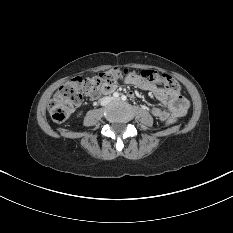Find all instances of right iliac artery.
<instances>
[{
    "mask_svg": "<svg viewBox=\"0 0 233 233\" xmlns=\"http://www.w3.org/2000/svg\"><path fill=\"white\" fill-rule=\"evenodd\" d=\"M113 97H114V98H118V97H119V93H118V92H115V93L113 94Z\"/></svg>",
    "mask_w": 233,
    "mask_h": 233,
    "instance_id": "1",
    "label": "right iliac artery"
}]
</instances>
